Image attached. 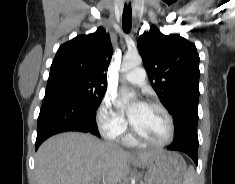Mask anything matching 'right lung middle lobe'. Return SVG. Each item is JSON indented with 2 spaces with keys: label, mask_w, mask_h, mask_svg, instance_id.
<instances>
[{
  "label": "right lung middle lobe",
  "mask_w": 235,
  "mask_h": 184,
  "mask_svg": "<svg viewBox=\"0 0 235 184\" xmlns=\"http://www.w3.org/2000/svg\"><path fill=\"white\" fill-rule=\"evenodd\" d=\"M65 92L77 97L91 108H98L106 91V86L66 79L60 86Z\"/></svg>",
  "instance_id": "1"
}]
</instances>
